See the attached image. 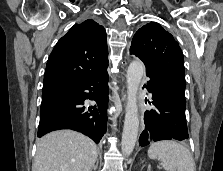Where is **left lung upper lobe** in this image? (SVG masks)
<instances>
[{"label": "left lung upper lobe", "mask_w": 223, "mask_h": 171, "mask_svg": "<svg viewBox=\"0 0 223 171\" xmlns=\"http://www.w3.org/2000/svg\"><path fill=\"white\" fill-rule=\"evenodd\" d=\"M130 52L146 68L158 72L185 88L184 59L179 44L158 23L150 22L134 35Z\"/></svg>", "instance_id": "obj_1"}]
</instances>
